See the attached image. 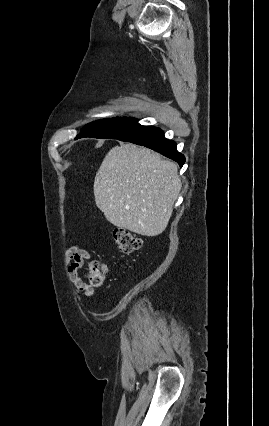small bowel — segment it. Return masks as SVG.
Here are the masks:
<instances>
[{
  "label": "small bowel",
  "instance_id": "1",
  "mask_svg": "<svg viewBox=\"0 0 269 426\" xmlns=\"http://www.w3.org/2000/svg\"><path fill=\"white\" fill-rule=\"evenodd\" d=\"M65 260L66 271L76 293L83 297L93 296L94 286L85 282L79 275V270L84 266L85 262L91 260L90 253L81 245L76 244L68 249Z\"/></svg>",
  "mask_w": 269,
  "mask_h": 426
}]
</instances>
